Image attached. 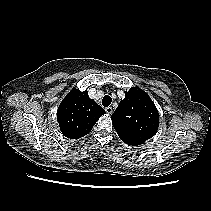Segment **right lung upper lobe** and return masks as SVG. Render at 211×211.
Segmentation results:
<instances>
[{
  "instance_id": "1",
  "label": "right lung upper lobe",
  "mask_w": 211,
  "mask_h": 211,
  "mask_svg": "<svg viewBox=\"0 0 211 211\" xmlns=\"http://www.w3.org/2000/svg\"><path fill=\"white\" fill-rule=\"evenodd\" d=\"M103 114L105 110L89 98L87 90L73 88L57 110V121L64 136L79 139L91 131Z\"/></svg>"
}]
</instances>
